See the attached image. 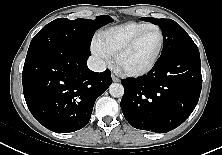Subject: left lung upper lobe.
Listing matches in <instances>:
<instances>
[{"label": "left lung upper lobe", "mask_w": 222, "mask_h": 155, "mask_svg": "<svg viewBox=\"0 0 222 155\" xmlns=\"http://www.w3.org/2000/svg\"><path fill=\"white\" fill-rule=\"evenodd\" d=\"M142 19L159 25L162 30L164 44L160 57L179 51H199L187 32L175 21L153 17Z\"/></svg>", "instance_id": "1"}]
</instances>
